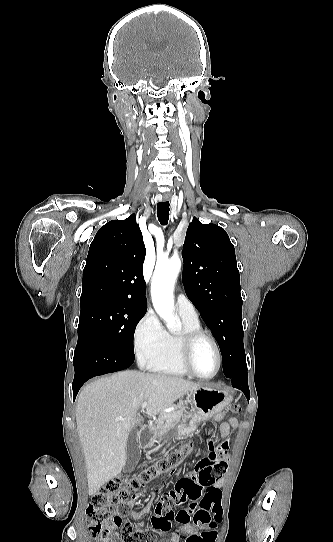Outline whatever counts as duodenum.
I'll return each mask as SVG.
<instances>
[{
	"label": "duodenum",
	"instance_id": "1",
	"mask_svg": "<svg viewBox=\"0 0 333 542\" xmlns=\"http://www.w3.org/2000/svg\"><path fill=\"white\" fill-rule=\"evenodd\" d=\"M139 445L142 447V448H146L149 446V439L147 436H145L144 434H141L140 437H139Z\"/></svg>",
	"mask_w": 333,
	"mask_h": 542
}]
</instances>
